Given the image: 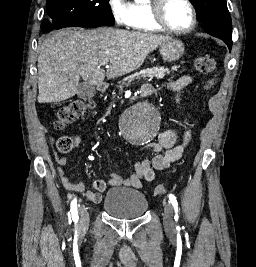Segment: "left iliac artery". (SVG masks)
Here are the masks:
<instances>
[{
	"instance_id": "obj_1",
	"label": "left iliac artery",
	"mask_w": 256,
	"mask_h": 267,
	"mask_svg": "<svg viewBox=\"0 0 256 267\" xmlns=\"http://www.w3.org/2000/svg\"><path fill=\"white\" fill-rule=\"evenodd\" d=\"M169 200H170V202H171V204L175 210L174 219H175V221H178V202L176 200V197L173 194H169Z\"/></svg>"
}]
</instances>
